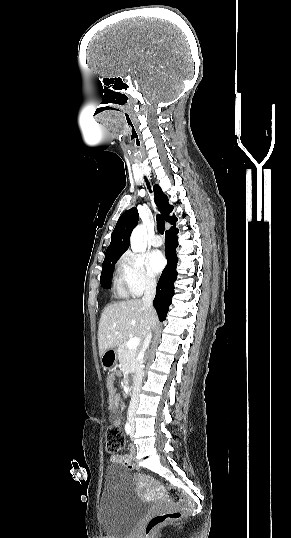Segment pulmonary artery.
Segmentation results:
<instances>
[{"label":"pulmonary artery","mask_w":291,"mask_h":538,"mask_svg":"<svg viewBox=\"0 0 291 538\" xmlns=\"http://www.w3.org/2000/svg\"><path fill=\"white\" fill-rule=\"evenodd\" d=\"M162 244H163V241H162L161 237H159V236H154L151 239V245L153 247H160Z\"/></svg>","instance_id":"e3ab8cb5"}]
</instances>
